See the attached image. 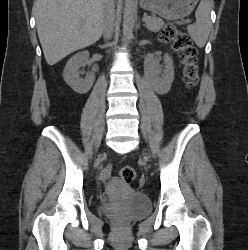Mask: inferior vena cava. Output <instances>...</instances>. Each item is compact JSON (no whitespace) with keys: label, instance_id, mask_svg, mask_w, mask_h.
<instances>
[{"label":"inferior vena cava","instance_id":"obj_1","mask_svg":"<svg viewBox=\"0 0 248 250\" xmlns=\"http://www.w3.org/2000/svg\"><path fill=\"white\" fill-rule=\"evenodd\" d=\"M105 2L103 35L105 40H109L115 26V10L113 0H106Z\"/></svg>","mask_w":248,"mask_h":250}]
</instances>
